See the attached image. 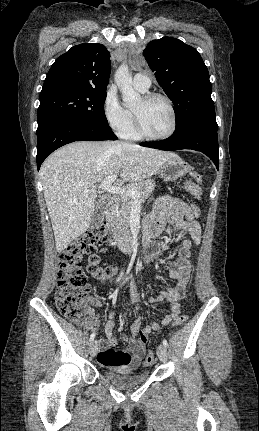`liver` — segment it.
Wrapping results in <instances>:
<instances>
[{
    "instance_id": "liver-1",
    "label": "liver",
    "mask_w": 259,
    "mask_h": 431,
    "mask_svg": "<svg viewBox=\"0 0 259 431\" xmlns=\"http://www.w3.org/2000/svg\"><path fill=\"white\" fill-rule=\"evenodd\" d=\"M177 155L130 143L79 141L52 153L40 176L56 249L62 252L88 229L96 184L116 175L117 183H135L156 174Z\"/></svg>"
}]
</instances>
